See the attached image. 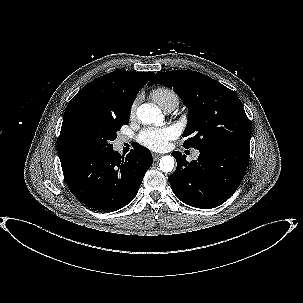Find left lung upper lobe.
<instances>
[{
    "mask_svg": "<svg viewBox=\"0 0 303 303\" xmlns=\"http://www.w3.org/2000/svg\"><path fill=\"white\" fill-rule=\"evenodd\" d=\"M173 90L189 108L184 147L207 144L250 145L251 123L236 93L209 76L188 70L157 72L148 86Z\"/></svg>",
    "mask_w": 303,
    "mask_h": 303,
    "instance_id": "obj_1",
    "label": "left lung upper lobe"
}]
</instances>
